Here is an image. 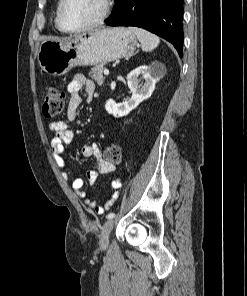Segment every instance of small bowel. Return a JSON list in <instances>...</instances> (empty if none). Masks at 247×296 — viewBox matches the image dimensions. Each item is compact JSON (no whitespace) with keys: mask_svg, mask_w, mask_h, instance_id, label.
I'll return each instance as SVG.
<instances>
[{"mask_svg":"<svg viewBox=\"0 0 247 296\" xmlns=\"http://www.w3.org/2000/svg\"><path fill=\"white\" fill-rule=\"evenodd\" d=\"M82 87L85 88L87 100L92 99L96 90L95 84L93 81L86 79L82 74H76L67 85V90L70 95L67 116L70 121H74L77 118L78 108L82 103V98L79 93ZM49 130L54 134L50 140L52 157L57 166L63 170V177L68 179L70 173L65 170L66 162L63 158V154L65 145L71 143L73 140V131L69 129L68 124L64 121L51 122L49 124ZM81 153L84 157H94L96 160L95 168L90 170L87 175V181L90 185H93L100 175L110 174L114 171V166L103 159L97 144H86L82 146ZM83 185L84 181L82 178L74 177L71 179L72 190L79 196L86 206L92 208L96 214L100 215L108 210L109 206L118 197L121 182L119 180H114L112 182V198L104 204H98L95 200L88 197L83 190Z\"/></svg>","mask_w":247,"mask_h":296,"instance_id":"small-bowel-1","label":"small bowel"}]
</instances>
